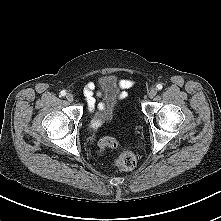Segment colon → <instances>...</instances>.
Instances as JSON below:
<instances>
[{
  "label": "colon",
  "instance_id": "1",
  "mask_svg": "<svg viewBox=\"0 0 221 221\" xmlns=\"http://www.w3.org/2000/svg\"><path fill=\"white\" fill-rule=\"evenodd\" d=\"M118 146V141L114 137H104L99 142L101 151L107 148H115ZM115 164L121 171H130L135 168L137 164V157L131 150H122L118 153Z\"/></svg>",
  "mask_w": 221,
  "mask_h": 221
}]
</instances>
